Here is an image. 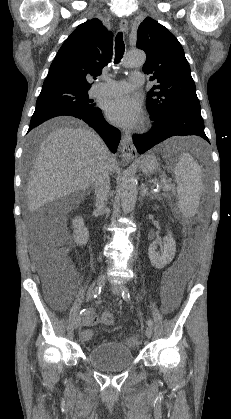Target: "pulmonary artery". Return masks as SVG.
<instances>
[{
	"instance_id": "1",
	"label": "pulmonary artery",
	"mask_w": 231,
	"mask_h": 419,
	"mask_svg": "<svg viewBox=\"0 0 231 419\" xmlns=\"http://www.w3.org/2000/svg\"><path fill=\"white\" fill-rule=\"evenodd\" d=\"M144 83V75L141 72H133L127 80L112 81L99 83L90 90V95L93 97L101 96H121L128 93L134 88L142 86Z\"/></svg>"
}]
</instances>
